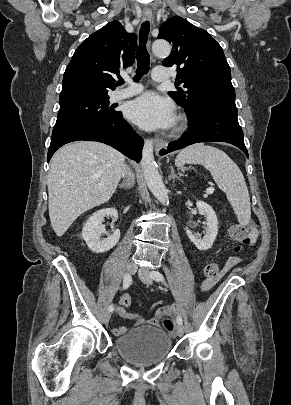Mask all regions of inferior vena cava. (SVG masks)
<instances>
[{
    "label": "inferior vena cava",
    "instance_id": "obj_1",
    "mask_svg": "<svg viewBox=\"0 0 291 405\" xmlns=\"http://www.w3.org/2000/svg\"><path fill=\"white\" fill-rule=\"evenodd\" d=\"M122 176L123 177H128V180H130L132 183L134 181V175L132 174L131 170L127 165H123L122 167Z\"/></svg>",
    "mask_w": 291,
    "mask_h": 405
}]
</instances>
